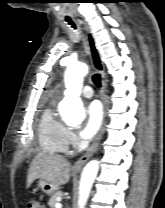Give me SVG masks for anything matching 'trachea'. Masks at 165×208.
Returning <instances> with one entry per match:
<instances>
[{"instance_id": "trachea-1", "label": "trachea", "mask_w": 165, "mask_h": 208, "mask_svg": "<svg viewBox=\"0 0 165 208\" xmlns=\"http://www.w3.org/2000/svg\"><path fill=\"white\" fill-rule=\"evenodd\" d=\"M67 22L73 27V28H76V25L71 21V20H67ZM92 80L94 82V84L97 86V87H100L101 86V76L99 74H94L93 77H92Z\"/></svg>"}]
</instances>
